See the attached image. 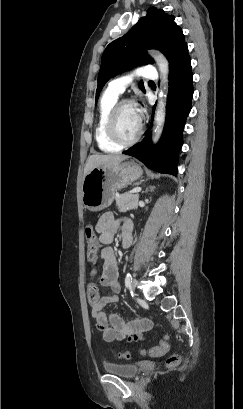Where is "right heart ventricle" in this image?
I'll return each mask as SVG.
<instances>
[{
	"label": "right heart ventricle",
	"instance_id": "e07e8e85",
	"mask_svg": "<svg viewBox=\"0 0 243 409\" xmlns=\"http://www.w3.org/2000/svg\"><path fill=\"white\" fill-rule=\"evenodd\" d=\"M119 95L112 93L108 89L101 97L99 105V116L95 127V140L98 148L105 153L118 152L121 146L113 143L107 135L106 122L113 106L118 102Z\"/></svg>",
	"mask_w": 243,
	"mask_h": 409
}]
</instances>
